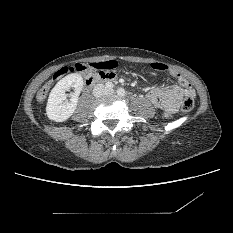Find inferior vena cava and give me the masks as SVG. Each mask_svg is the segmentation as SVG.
Segmentation results:
<instances>
[{"instance_id":"inferior-vena-cava-1","label":"inferior vena cava","mask_w":233,"mask_h":233,"mask_svg":"<svg viewBox=\"0 0 233 233\" xmlns=\"http://www.w3.org/2000/svg\"><path fill=\"white\" fill-rule=\"evenodd\" d=\"M104 85L103 84H97L93 89V94L95 97H100L103 94L104 91Z\"/></svg>"}]
</instances>
